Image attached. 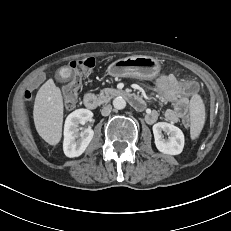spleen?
<instances>
[{"label": "spleen", "instance_id": "spleen-1", "mask_svg": "<svg viewBox=\"0 0 231 231\" xmlns=\"http://www.w3.org/2000/svg\"><path fill=\"white\" fill-rule=\"evenodd\" d=\"M191 115V138L195 139L199 136L205 123V107L200 96L194 95L190 103Z\"/></svg>", "mask_w": 231, "mask_h": 231}]
</instances>
